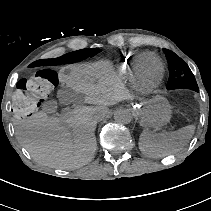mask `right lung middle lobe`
<instances>
[{
  "label": "right lung middle lobe",
  "mask_w": 211,
  "mask_h": 211,
  "mask_svg": "<svg viewBox=\"0 0 211 211\" xmlns=\"http://www.w3.org/2000/svg\"><path fill=\"white\" fill-rule=\"evenodd\" d=\"M100 49H81L78 51L67 53L56 59L57 64L75 63L84 60L90 56H94Z\"/></svg>",
  "instance_id": "obj_1"
}]
</instances>
